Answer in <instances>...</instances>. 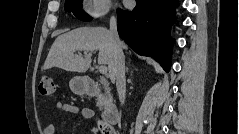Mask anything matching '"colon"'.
Returning a JSON list of instances; mask_svg holds the SVG:
<instances>
[{"label": "colon", "mask_w": 239, "mask_h": 134, "mask_svg": "<svg viewBox=\"0 0 239 134\" xmlns=\"http://www.w3.org/2000/svg\"><path fill=\"white\" fill-rule=\"evenodd\" d=\"M39 92L43 95H52L55 91V83L51 76L42 75L39 80ZM102 134H114L112 128L107 125H99Z\"/></svg>", "instance_id": "obj_1"}]
</instances>
